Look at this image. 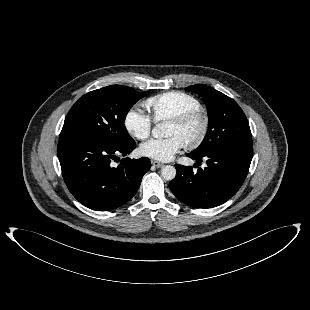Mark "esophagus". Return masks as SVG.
I'll return each instance as SVG.
<instances>
[{"instance_id": "1", "label": "esophagus", "mask_w": 310, "mask_h": 310, "mask_svg": "<svg viewBox=\"0 0 310 310\" xmlns=\"http://www.w3.org/2000/svg\"><path fill=\"white\" fill-rule=\"evenodd\" d=\"M152 165L156 168H160L163 166V163L159 162V161H156V160H152L151 161Z\"/></svg>"}]
</instances>
